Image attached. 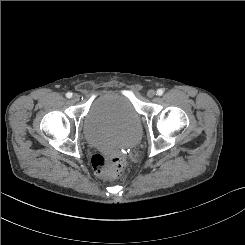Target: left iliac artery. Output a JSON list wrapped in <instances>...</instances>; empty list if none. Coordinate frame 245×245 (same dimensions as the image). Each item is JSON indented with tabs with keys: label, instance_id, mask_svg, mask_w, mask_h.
Masks as SVG:
<instances>
[{
	"label": "left iliac artery",
	"instance_id": "left-iliac-artery-1",
	"mask_svg": "<svg viewBox=\"0 0 245 245\" xmlns=\"http://www.w3.org/2000/svg\"><path fill=\"white\" fill-rule=\"evenodd\" d=\"M163 92H164V91H163L162 89H158V90H157V95H158V96H161V95H163Z\"/></svg>",
	"mask_w": 245,
	"mask_h": 245
}]
</instances>
